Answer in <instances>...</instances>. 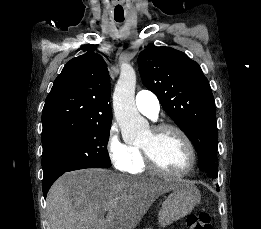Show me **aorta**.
Returning <instances> with one entry per match:
<instances>
[{
    "label": "aorta",
    "mask_w": 261,
    "mask_h": 229,
    "mask_svg": "<svg viewBox=\"0 0 261 229\" xmlns=\"http://www.w3.org/2000/svg\"><path fill=\"white\" fill-rule=\"evenodd\" d=\"M135 86L136 72L131 64H125L121 68L113 92V108L115 119L122 133H128L135 143H141L143 139H148L151 133L148 121L139 115L136 108Z\"/></svg>",
    "instance_id": "obj_1"
}]
</instances>
